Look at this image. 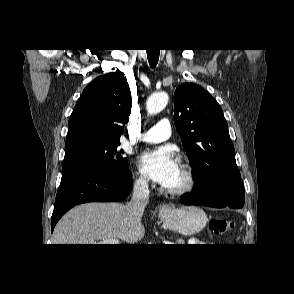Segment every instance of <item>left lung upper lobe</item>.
Here are the masks:
<instances>
[{
    "instance_id": "1",
    "label": "left lung upper lobe",
    "mask_w": 294,
    "mask_h": 294,
    "mask_svg": "<svg viewBox=\"0 0 294 294\" xmlns=\"http://www.w3.org/2000/svg\"><path fill=\"white\" fill-rule=\"evenodd\" d=\"M174 122L194 175L195 191L222 178H241L227 122L217 101L201 86L182 83L174 93Z\"/></svg>"
}]
</instances>
